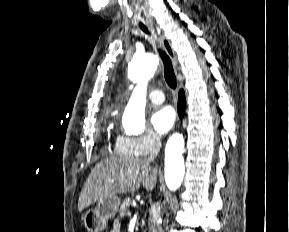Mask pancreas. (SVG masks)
Wrapping results in <instances>:
<instances>
[{
  "label": "pancreas",
  "mask_w": 289,
  "mask_h": 232,
  "mask_svg": "<svg viewBox=\"0 0 289 232\" xmlns=\"http://www.w3.org/2000/svg\"><path fill=\"white\" fill-rule=\"evenodd\" d=\"M131 204V199L129 197L125 198L119 208L120 216H124L128 212V208Z\"/></svg>",
  "instance_id": "pancreas-1"
}]
</instances>
